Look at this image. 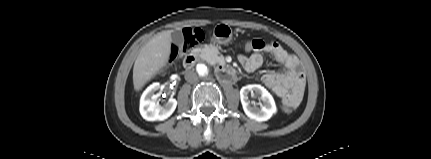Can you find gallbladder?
Wrapping results in <instances>:
<instances>
[{
    "label": "gallbladder",
    "instance_id": "obj_1",
    "mask_svg": "<svg viewBox=\"0 0 431 159\" xmlns=\"http://www.w3.org/2000/svg\"><path fill=\"white\" fill-rule=\"evenodd\" d=\"M171 38L172 41L175 45H177L178 47H181L184 43V37L181 31L179 30H174L171 33Z\"/></svg>",
    "mask_w": 431,
    "mask_h": 159
}]
</instances>
